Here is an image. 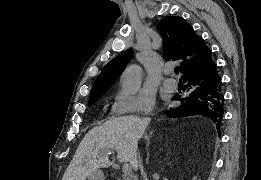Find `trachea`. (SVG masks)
<instances>
[{"mask_svg":"<svg viewBox=\"0 0 261 180\" xmlns=\"http://www.w3.org/2000/svg\"><path fill=\"white\" fill-rule=\"evenodd\" d=\"M179 70H180V68L176 67L174 71H175V73H179Z\"/></svg>","mask_w":261,"mask_h":180,"instance_id":"3493384b","label":"trachea"}]
</instances>
